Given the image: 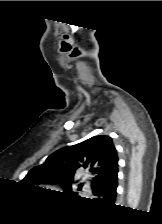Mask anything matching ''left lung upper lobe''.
Returning <instances> with one entry per match:
<instances>
[{
    "mask_svg": "<svg viewBox=\"0 0 162 224\" xmlns=\"http://www.w3.org/2000/svg\"><path fill=\"white\" fill-rule=\"evenodd\" d=\"M118 170L117 151L108 136H94L79 144L65 147L51 154L46 161L31 169L22 180L24 184L57 183L64 193L72 196L71 182L76 172L90 175L92 189Z\"/></svg>",
    "mask_w": 162,
    "mask_h": 224,
    "instance_id": "obj_1",
    "label": "left lung upper lobe"
}]
</instances>
